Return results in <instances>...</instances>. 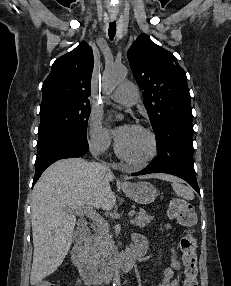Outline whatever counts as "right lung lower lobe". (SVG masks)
Here are the masks:
<instances>
[{
  "label": "right lung lower lobe",
  "instance_id": "98d812e1",
  "mask_svg": "<svg viewBox=\"0 0 231 286\" xmlns=\"http://www.w3.org/2000/svg\"><path fill=\"white\" fill-rule=\"evenodd\" d=\"M37 158L33 185L43 171L59 159L81 157L88 152L86 138L74 134H60L37 143Z\"/></svg>",
  "mask_w": 231,
  "mask_h": 286
}]
</instances>
